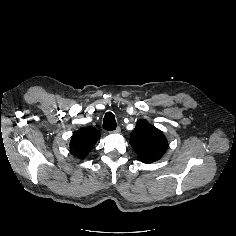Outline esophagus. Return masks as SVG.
I'll return each instance as SVG.
<instances>
[{
	"instance_id": "obj_1",
	"label": "esophagus",
	"mask_w": 236,
	"mask_h": 236,
	"mask_svg": "<svg viewBox=\"0 0 236 236\" xmlns=\"http://www.w3.org/2000/svg\"><path fill=\"white\" fill-rule=\"evenodd\" d=\"M121 132V128L117 127L115 130L111 131V133H120Z\"/></svg>"
}]
</instances>
